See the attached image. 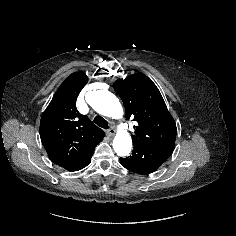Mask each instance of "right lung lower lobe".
Segmentation results:
<instances>
[{
  "mask_svg": "<svg viewBox=\"0 0 236 236\" xmlns=\"http://www.w3.org/2000/svg\"><path fill=\"white\" fill-rule=\"evenodd\" d=\"M94 150H95V148L85 152L80 157H78V158H76L64 165H61V167H63L64 169H66L68 171H71V172L83 169L91 162V157L94 153Z\"/></svg>",
  "mask_w": 236,
  "mask_h": 236,
  "instance_id": "right-lung-lower-lobe-1",
  "label": "right lung lower lobe"
}]
</instances>
